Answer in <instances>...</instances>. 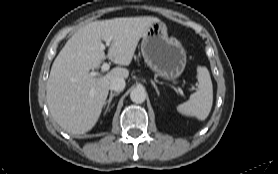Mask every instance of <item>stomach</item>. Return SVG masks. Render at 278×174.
Wrapping results in <instances>:
<instances>
[{"mask_svg":"<svg viewBox=\"0 0 278 174\" xmlns=\"http://www.w3.org/2000/svg\"><path fill=\"white\" fill-rule=\"evenodd\" d=\"M141 52L150 69L168 81H175L185 69L186 51L180 41L168 35L162 21L143 34Z\"/></svg>","mask_w":278,"mask_h":174,"instance_id":"0dacf381","label":"stomach"}]
</instances>
